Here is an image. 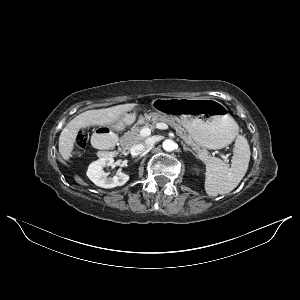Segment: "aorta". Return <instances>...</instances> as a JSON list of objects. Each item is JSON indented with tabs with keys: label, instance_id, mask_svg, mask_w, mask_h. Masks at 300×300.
Returning <instances> with one entry per match:
<instances>
[{
	"label": "aorta",
	"instance_id": "762f6f07",
	"mask_svg": "<svg viewBox=\"0 0 300 300\" xmlns=\"http://www.w3.org/2000/svg\"><path fill=\"white\" fill-rule=\"evenodd\" d=\"M162 147L165 151L171 152L176 149L177 144L171 139H166L163 141Z\"/></svg>",
	"mask_w": 300,
	"mask_h": 300
}]
</instances>
